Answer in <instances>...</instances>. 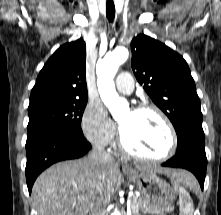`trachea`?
Listing matches in <instances>:
<instances>
[{"label":"trachea","instance_id":"3493384b","mask_svg":"<svg viewBox=\"0 0 221 215\" xmlns=\"http://www.w3.org/2000/svg\"><path fill=\"white\" fill-rule=\"evenodd\" d=\"M106 16L108 20L111 22L115 17V6L112 0H107L106 3Z\"/></svg>","mask_w":221,"mask_h":215}]
</instances>
